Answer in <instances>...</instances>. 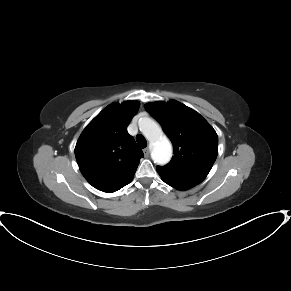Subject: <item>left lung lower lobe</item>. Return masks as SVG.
<instances>
[{
    "instance_id": "obj_1",
    "label": "left lung lower lobe",
    "mask_w": 291,
    "mask_h": 291,
    "mask_svg": "<svg viewBox=\"0 0 291 291\" xmlns=\"http://www.w3.org/2000/svg\"><path fill=\"white\" fill-rule=\"evenodd\" d=\"M165 183H167L168 185L178 189V190H187L193 186H187V185H179V184H174V183H170V182H166L164 181Z\"/></svg>"
}]
</instances>
